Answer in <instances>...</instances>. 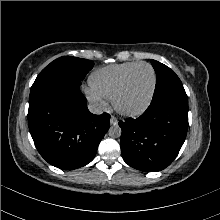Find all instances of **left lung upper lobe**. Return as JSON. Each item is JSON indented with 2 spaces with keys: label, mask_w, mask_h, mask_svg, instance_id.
<instances>
[{
  "label": "left lung upper lobe",
  "mask_w": 220,
  "mask_h": 220,
  "mask_svg": "<svg viewBox=\"0 0 220 220\" xmlns=\"http://www.w3.org/2000/svg\"><path fill=\"white\" fill-rule=\"evenodd\" d=\"M156 72V87L151 104L173 102L188 108V97L178 76L166 65L151 60Z\"/></svg>",
  "instance_id": "obj_1"
}]
</instances>
